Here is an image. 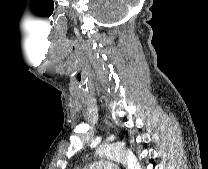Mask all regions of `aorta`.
I'll return each mask as SVG.
<instances>
[{"label": "aorta", "mask_w": 208, "mask_h": 169, "mask_svg": "<svg viewBox=\"0 0 208 169\" xmlns=\"http://www.w3.org/2000/svg\"><path fill=\"white\" fill-rule=\"evenodd\" d=\"M101 158L120 161L127 166V169H140L139 162L134 154L117 144H104L96 150Z\"/></svg>", "instance_id": "aorta-1"}]
</instances>
